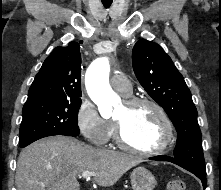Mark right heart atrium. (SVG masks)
Instances as JSON below:
<instances>
[{"label":"right heart atrium","mask_w":221,"mask_h":190,"mask_svg":"<svg viewBox=\"0 0 221 190\" xmlns=\"http://www.w3.org/2000/svg\"><path fill=\"white\" fill-rule=\"evenodd\" d=\"M76 124L85 139L98 147L106 146L113 135L112 123L103 118L87 98H83L79 104Z\"/></svg>","instance_id":"1"}]
</instances>
